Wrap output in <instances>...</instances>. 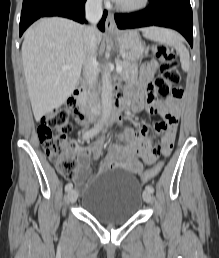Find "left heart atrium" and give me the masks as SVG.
Segmentation results:
<instances>
[{
    "mask_svg": "<svg viewBox=\"0 0 219 258\" xmlns=\"http://www.w3.org/2000/svg\"><path fill=\"white\" fill-rule=\"evenodd\" d=\"M113 1H115V2H119L120 0H113Z\"/></svg>",
    "mask_w": 219,
    "mask_h": 258,
    "instance_id": "39dd6f15",
    "label": "left heart atrium"
}]
</instances>
